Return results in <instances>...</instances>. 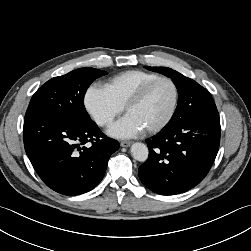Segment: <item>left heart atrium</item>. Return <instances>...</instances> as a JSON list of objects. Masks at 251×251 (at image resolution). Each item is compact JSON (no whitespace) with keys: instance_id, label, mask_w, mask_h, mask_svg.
<instances>
[{"instance_id":"obj_1","label":"left heart atrium","mask_w":251,"mask_h":251,"mask_svg":"<svg viewBox=\"0 0 251 251\" xmlns=\"http://www.w3.org/2000/svg\"><path fill=\"white\" fill-rule=\"evenodd\" d=\"M143 131L142 126L132 116L127 114L109 130V134L116 138H132Z\"/></svg>"}]
</instances>
